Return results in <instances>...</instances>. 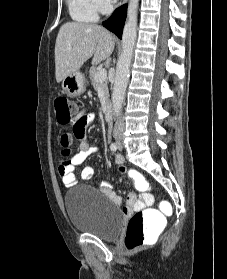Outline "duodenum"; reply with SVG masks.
I'll return each instance as SVG.
<instances>
[{
    "mask_svg": "<svg viewBox=\"0 0 227 279\" xmlns=\"http://www.w3.org/2000/svg\"><path fill=\"white\" fill-rule=\"evenodd\" d=\"M104 117L107 120H111V118H112V107L110 105L105 106V108H104Z\"/></svg>",
    "mask_w": 227,
    "mask_h": 279,
    "instance_id": "duodenum-1",
    "label": "duodenum"
}]
</instances>
